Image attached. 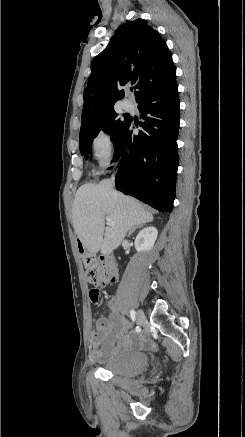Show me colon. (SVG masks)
Segmentation results:
<instances>
[{"instance_id":"1","label":"colon","mask_w":245,"mask_h":437,"mask_svg":"<svg viewBox=\"0 0 245 437\" xmlns=\"http://www.w3.org/2000/svg\"><path fill=\"white\" fill-rule=\"evenodd\" d=\"M84 268L88 283L94 286L90 291L91 300L98 302L100 288L113 284L118 279L117 262L112 256L91 255L85 258Z\"/></svg>"}]
</instances>
